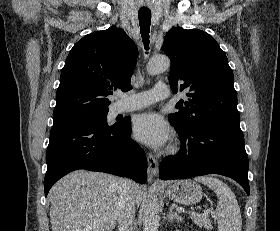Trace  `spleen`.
Masks as SVG:
<instances>
[{"label":"spleen","instance_id":"spleen-1","mask_svg":"<svg viewBox=\"0 0 280 231\" xmlns=\"http://www.w3.org/2000/svg\"><path fill=\"white\" fill-rule=\"evenodd\" d=\"M196 181H201L214 189L218 203L216 205V217L218 219L219 231H241L242 217L235 193L230 187L218 179V177H195Z\"/></svg>","mask_w":280,"mask_h":231}]
</instances>
